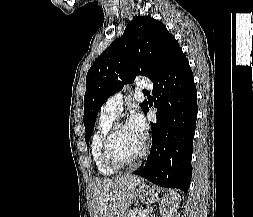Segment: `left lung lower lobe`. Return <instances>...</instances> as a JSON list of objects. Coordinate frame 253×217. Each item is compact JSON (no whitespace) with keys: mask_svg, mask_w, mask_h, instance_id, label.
Listing matches in <instances>:
<instances>
[{"mask_svg":"<svg viewBox=\"0 0 253 217\" xmlns=\"http://www.w3.org/2000/svg\"><path fill=\"white\" fill-rule=\"evenodd\" d=\"M157 123H151L150 155L133 172L166 188L188 191L193 138L197 119V92L188 59L182 52L153 82ZM149 110L147 105L144 113Z\"/></svg>","mask_w":253,"mask_h":217,"instance_id":"left-lung-lower-lobe-1","label":"left lung lower lobe"}]
</instances>
